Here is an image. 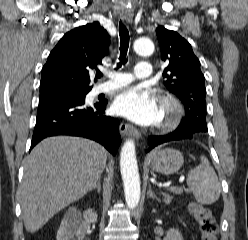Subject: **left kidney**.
<instances>
[{"label": "left kidney", "mask_w": 248, "mask_h": 240, "mask_svg": "<svg viewBox=\"0 0 248 240\" xmlns=\"http://www.w3.org/2000/svg\"><path fill=\"white\" fill-rule=\"evenodd\" d=\"M163 240H183V238L179 230L170 229Z\"/></svg>", "instance_id": "obj_1"}]
</instances>
